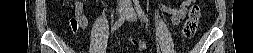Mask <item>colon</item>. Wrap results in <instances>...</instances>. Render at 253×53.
<instances>
[{
  "label": "colon",
  "instance_id": "obj_1",
  "mask_svg": "<svg viewBox=\"0 0 253 53\" xmlns=\"http://www.w3.org/2000/svg\"><path fill=\"white\" fill-rule=\"evenodd\" d=\"M81 13H83V10L75 7L74 10L75 17H73L70 20V27L74 31H76L79 27L78 15H80ZM200 16H201V8L197 3H194L189 9L188 18L183 27L182 34L184 40H188L195 35ZM130 43L139 50H143L145 48V43L143 41L131 39Z\"/></svg>",
  "mask_w": 253,
  "mask_h": 53
}]
</instances>
